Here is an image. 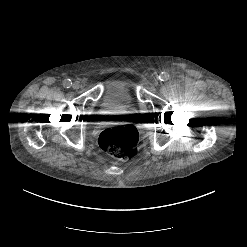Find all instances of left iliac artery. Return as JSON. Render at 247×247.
Masks as SVG:
<instances>
[{"instance_id":"1","label":"left iliac artery","mask_w":247,"mask_h":247,"mask_svg":"<svg viewBox=\"0 0 247 247\" xmlns=\"http://www.w3.org/2000/svg\"><path fill=\"white\" fill-rule=\"evenodd\" d=\"M169 74L168 73H166V72H162L160 75H159V79L161 80V81H167L168 79H169Z\"/></svg>"}]
</instances>
